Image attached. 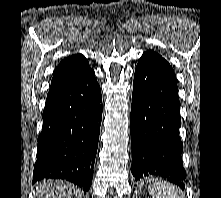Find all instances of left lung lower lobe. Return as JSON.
I'll use <instances>...</instances> for the list:
<instances>
[{"label":"left lung lower lobe","instance_id":"1","mask_svg":"<svg viewBox=\"0 0 221 198\" xmlns=\"http://www.w3.org/2000/svg\"><path fill=\"white\" fill-rule=\"evenodd\" d=\"M130 124L135 179L156 175L184 188L177 83L170 64L157 54L145 52L138 61Z\"/></svg>","mask_w":221,"mask_h":198}]
</instances>
